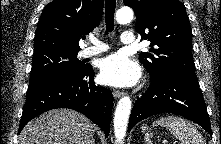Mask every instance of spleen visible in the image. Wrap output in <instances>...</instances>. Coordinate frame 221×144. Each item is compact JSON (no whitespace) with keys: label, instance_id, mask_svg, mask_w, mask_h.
Instances as JSON below:
<instances>
[{"label":"spleen","instance_id":"1","mask_svg":"<svg viewBox=\"0 0 221 144\" xmlns=\"http://www.w3.org/2000/svg\"><path fill=\"white\" fill-rule=\"evenodd\" d=\"M163 126L169 129L171 134L182 141V144H206L203 136L194 127V125L186 119L177 116L161 117L153 122V126ZM145 140L147 144H152L149 134H146Z\"/></svg>","mask_w":221,"mask_h":144}]
</instances>
